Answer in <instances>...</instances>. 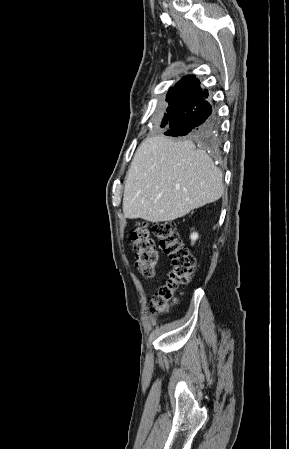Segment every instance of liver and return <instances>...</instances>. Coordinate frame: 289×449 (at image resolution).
Wrapping results in <instances>:
<instances>
[{"label":"liver","instance_id":"liver-1","mask_svg":"<svg viewBox=\"0 0 289 449\" xmlns=\"http://www.w3.org/2000/svg\"><path fill=\"white\" fill-rule=\"evenodd\" d=\"M222 172L190 140L150 137L138 147L126 175V218L167 222L217 201L224 193Z\"/></svg>","mask_w":289,"mask_h":449}]
</instances>
